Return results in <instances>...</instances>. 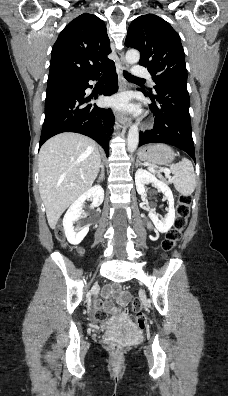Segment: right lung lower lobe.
Listing matches in <instances>:
<instances>
[{"label":"right lung lower lobe","instance_id":"98d812e1","mask_svg":"<svg viewBox=\"0 0 228 396\" xmlns=\"http://www.w3.org/2000/svg\"><path fill=\"white\" fill-rule=\"evenodd\" d=\"M103 71L108 72L110 77L99 95L110 96L118 90L115 65L112 64ZM100 75L99 73L87 80H65L47 85L45 120L39 147L56 134L76 132L97 141L108 154V143L114 121L113 113L111 109L89 104L92 97L85 98V89L91 87L88 81L97 80Z\"/></svg>","mask_w":228,"mask_h":396}]
</instances>
